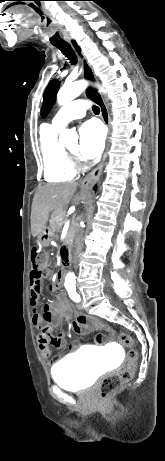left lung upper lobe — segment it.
Masks as SVG:
<instances>
[{"label": "left lung upper lobe", "instance_id": "1", "mask_svg": "<svg viewBox=\"0 0 165 461\" xmlns=\"http://www.w3.org/2000/svg\"><path fill=\"white\" fill-rule=\"evenodd\" d=\"M59 88V82L57 80H51L48 86L45 89L44 96H43V105L41 110V116L45 117L52 104L55 101V97Z\"/></svg>", "mask_w": 165, "mask_h": 461}]
</instances>
